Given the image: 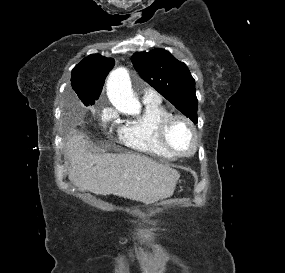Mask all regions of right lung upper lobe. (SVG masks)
<instances>
[{
    "label": "right lung upper lobe",
    "mask_w": 285,
    "mask_h": 273,
    "mask_svg": "<svg viewBox=\"0 0 285 273\" xmlns=\"http://www.w3.org/2000/svg\"><path fill=\"white\" fill-rule=\"evenodd\" d=\"M114 64L113 58L92 54L74 67L71 85L85 105H92L99 98L105 78Z\"/></svg>",
    "instance_id": "right-lung-upper-lobe-1"
}]
</instances>
